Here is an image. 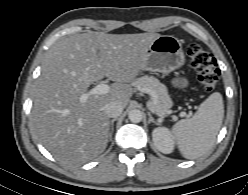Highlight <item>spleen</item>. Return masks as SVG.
I'll use <instances>...</instances> for the list:
<instances>
[{
    "label": "spleen",
    "mask_w": 248,
    "mask_h": 195,
    "mask_svg": "<svg viewBox=\"0 0 248 195\" xmlns=\"http://www.w3.org/2000/svg\"><path fill=\"white\" fill-rule=\"evenodd\" d=\"M224 105L222 95L212 93L198 111L172 127V136L183 157L196 159L206 154L214 145L222 125Z\"/></svg>",
    "instance_id": "obj_1"
}]
</instances>
